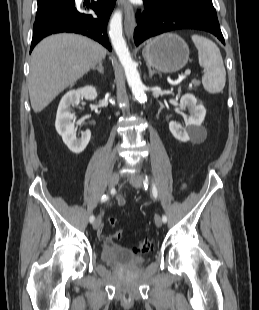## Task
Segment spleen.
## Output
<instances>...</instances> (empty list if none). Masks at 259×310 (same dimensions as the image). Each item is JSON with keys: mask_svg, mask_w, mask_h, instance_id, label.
<instances>
[{"mask_svg": "<svg viewBox=\"0 0 259 310\" xmlns=\"http://www.w3.org/2000/svg\"><path fill=\"white\" fill-rule=\"evenodd\" d=\"M191 39L198 50L199 64L204 68V89L211 94L220 93L225 87L226 71L219 48L213 41L200 35L194 34Z\"/></svg>", "mask_w": 259, "mask_h": 310, "instance_id": "obj_1", "label": "spleen"}]
</instances>
